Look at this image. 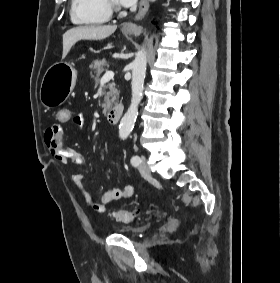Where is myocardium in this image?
Instances as JSON below:
<instances>
[{
	"label": "myocardium",
	"instance_id": "f54148a6",
	"mask_svg": "<svg viewBox=\"0 0 280 283\" xmlns=\"http://www.w3.org/2000/svg\"><path fill=\"white\" fill-rule=\"evenodd\" d=\"M104 3L109 12H119L121 7L116 0H104Z\"/></svg>",
	"mask_w": 280,
	"mask_h": 283
}]
</instances>
